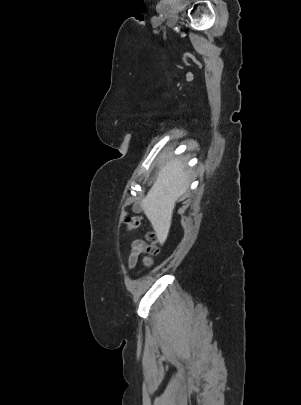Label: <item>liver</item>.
Returning a JSON list of instances; mask_svg holds the SVG:
<instances>
[{
	"mask_svg": "<svg viewBox=\"0 0 301 405\" xmlns=\"http://www.w3.org/2000/svg\"><path fill=\"white\" fill-rule=\"evenodd\" d=\"M188 187L186 166L178 158H170L162 164L154 184L141 201L142 209L161 243L167 239L175 204Z\"/></svg>",
	"mask_w": 301,
	"mask_h": 405,
	"instance_id": "6515ba94",
	"label": "liver"
}]
</instances>
